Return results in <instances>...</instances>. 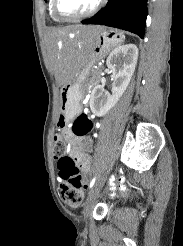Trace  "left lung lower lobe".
Wrapping results in <instances>:
<instances>
[{
	"label": "left lung lower lobe",
	"mask_w": 183,
	"mask_h": 246,
	"mask_svg": "<svg viewBox=\"0 0 183 246\" xmlns=\"http://www.w3.org/2000/svg\"><path fill=\"white\" fill-rule=\"evenodd\" d=\"M147 0H108L106 7L82 24H100L130 31L144 38Z\"/></svg>",
	"instance_id": "0a47b994"
}]
</instances>
